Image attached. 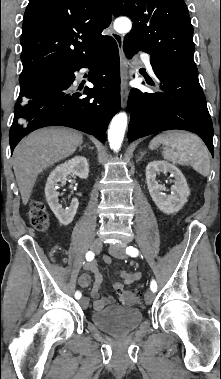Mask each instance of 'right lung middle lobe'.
I'll return each instance as SVG.
<instances>
[{"label":"right lung middle lobe","instance_id":"right-lung-middle-lobe-1","mask_svg":"<svg viewBox=\"0 0 221 379\" xmlns=\"http://www.w3.org/2000/svg\"><path fill=\"white\" fill-rule=\"evenodd\" d=\"M22 82H23V81L20 80V86H21V83H22ZM21 95H22V94H21V91H20V95H19V96H21Z\"/></svg>","mask_w":221,"mask_h":379}]
</instances>
